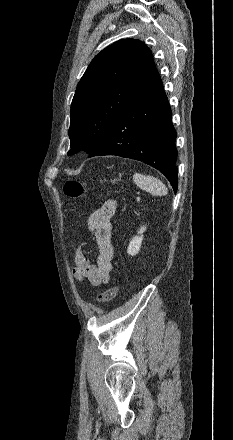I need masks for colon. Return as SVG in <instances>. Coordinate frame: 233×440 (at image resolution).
Returning <instances> with one entry per match:
<instances>
[{
	"mask_svg": "<svg viewBox=\"0 0 233 440\" xmlns=\"http://www.w3.org/2000/svg\"><path fill=\"white\" fill-rule=\"evenodd\" d=\"M120 178L103 179L102 182L116 183ZM88 190V185L85 182L70 179L63 184V192L68 198H79L83 196ZM119 286L113 285L104 292L100 293L97 297L99 304H105L114 299L118 294Z\"/></svg>",
	"mask_w": 233,
	"mask_h": 440,
	"instance_id": "5ec220e1",
	"label": "colon"
}]
</instances>
